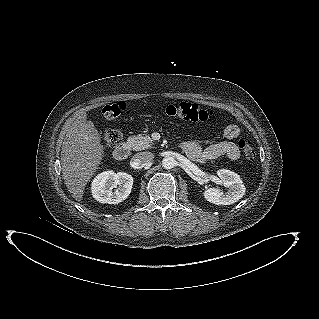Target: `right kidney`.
Wrapping results in <instances>:
<instances>
[{"label": "right kidney", "mask_w": 319, "mask_h": 319, "mask_svg": "<svg viewBox=\"0 0 319 319\" xmlns=\"http://www.w3.org/2000/svg\"><path fill=\"white\" fill-rule=\"evenodd\" d=\"M132 185L133 177L131 175L108 170L98 174L93 179L91 191L94 199L100 203L118 204L129 196Z\"/></svg>", "instance_id": "ca27d5eb"}]
</instances>
